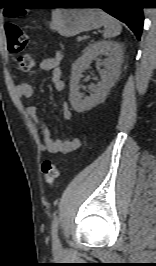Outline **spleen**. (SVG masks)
I'll list each match as a JSON object with an SVG mask.
<instances>
[{
    "instance_id": "1",
    "label": "spleen",
    "mask_w": 156,
    "mask_h": 266,
    "mask_svg": "<svg viewBox=\"0 0 156 266\" xmlns=\"http://www.w3.org/2000/svg\"><path fill=\"white\" fill-rule=\"evenodd\" d=\"M101 16L104 25V38H113L121 33V25L114 17L108 15L104 11H101Z\"/></svg>"
}]
</instances>
